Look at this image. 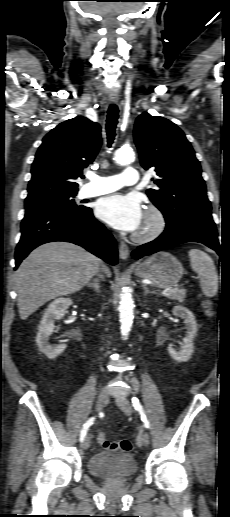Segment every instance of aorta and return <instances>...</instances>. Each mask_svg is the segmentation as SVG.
I'll return each instance as SVG.
<instances>
[{"label":"aorta","mask_w":230,"mask_h":517,"mask_svg":"<svg viewBox=\"0 0 230 517\" xmlns=\"http://www.w3.org/2000/svg\"><path fill=\"white\" fill-rule=\"evenodd\" d=\"M134 159L135 154L130 148H121L115 151L114 160L118 164H128L133 162ZM133 309L134 301L132 296L127 289H123L119 303V318L123 336H128L131 331L134 318Z\"/></svg>","instance_id":"762f6f07"}]
</instances>
